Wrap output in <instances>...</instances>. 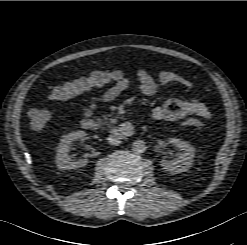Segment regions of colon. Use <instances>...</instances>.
<instances>
[{
	"instance_id": "1",
	"label": "colon",
	"mask_w": 247,
	"mask_h": 245,
	"mask_svg": "<svg viewBox=\"0 0 247 245\" xmlns=\"http://www.w3.org/2000/svg\"><path fill=\"white\" fill-rule=\"evenodd\" d=\"M123 76L120 70H98L87 76L77 78L71 82H67L54 87L50 93L49 98L55 101H63L84 92L90 91L94 88H100L119 80ZM30 124L32 128L42 129L50 118V113L46 109L33 108L29 111ZM183 126H190L200 128L204 124L194 118H186L181 122Z\"/></svg>"
}]
</instances>
